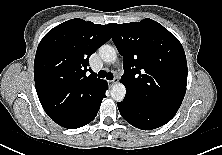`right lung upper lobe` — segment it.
Masks as SVG:
<instances>
[{"label": "right lung upper lobe", "mask_w": 222, "mask_h": 155, "mask_svg": "<svg viewBox=\"0 0 222 155\" xmlns=\"http://www.w3.org/2000/svg\"><path fill=\"white\" fill-rule=\"evenodd\" d=\"M110 38L108 25L79 18L54 27L42 38L34 61V79L45 111L64 114L99 90L106 81L88 68L89 57Z\"/></svg>", "instance_id": "1"}]
</instances>
